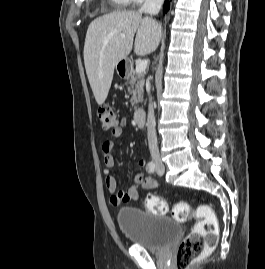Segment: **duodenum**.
Masks as SVG:
<instances>
[{"instance_id":"obj_1","label":"duodenum","mask_w":265,"mask_h":269,"mask_svg":"<svg viewBox=\"0 0 265 269\" xmlns=\"http://www.w3.org/2000/svg\"><path fill=\"white\" fill-rule=\"evenodd\" d=\"M121 70H122V75L126 76L128 73V69L123 65ZM145 117H146V112L144 109H137L134 112V121L138 125H144Z\"/></svg>"}]
</instances>
